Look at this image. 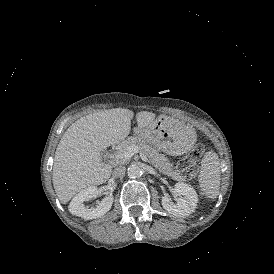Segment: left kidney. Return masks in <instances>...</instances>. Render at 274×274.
Wrapping results in <instances>:
<instances>
[{
    "instance_id": "1",
    "label": "left kidney",
    "mask_w": 274,
    "mask_h": 274,
    "mask_svg": "<svg viewBox=\"0 0 274 274\" xmlns=\"http://www.w3.org/2000/svg\"><path fill=\"white\" fill-rule=\"evenodd\" d=\"M176 204L172 202L168 195L162 197V206L170 214L176 217H186L195 211L198 196L194 188L183 182L175 184Z\"/></svg>"
}]
</instances>
